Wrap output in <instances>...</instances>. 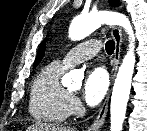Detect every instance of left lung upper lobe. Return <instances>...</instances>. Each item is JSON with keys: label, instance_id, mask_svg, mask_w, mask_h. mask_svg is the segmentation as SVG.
Returning a JSON list of instances; mask_svg holds the SVG:
<instances>
[{"label": "left lung upper lobe", "instance_id": "obj_1", "mask_svg": "<svg viewBox=\"0 0 147 131\" xmlns=\"http://www.w3.org/2000/svg\"><path fill=\"white\" fill-rule=\"evenodd\" d=\"M110 4L114 7L118 6V0H109ZM44 52H45V40L42 42L37 57L35 59L34 62V68L40 63V61L42 60L43 56H44Z\"/></svg>", "mask_w": 147, "mask_h": 131}]
</instances>
